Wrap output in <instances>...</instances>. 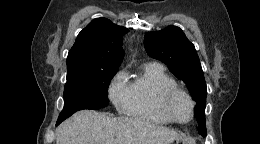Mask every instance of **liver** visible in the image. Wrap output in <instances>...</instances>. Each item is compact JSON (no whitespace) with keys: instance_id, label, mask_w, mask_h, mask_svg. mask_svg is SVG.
<instances>
[{"instance_id":"6515ba94","label":"liver","mask_w":260,"mask_h":144,"mask_svg":"<svg viewBox=\"0 0 260 144\" xmlns=\"http://www.w3.org/2000/svg\"><path fill=\"white\" fill-rule=\"evenodd\" d=\"M181 136L148 121L83 110L57 131V144H169Z\"/></svg>"}]
</instances>
